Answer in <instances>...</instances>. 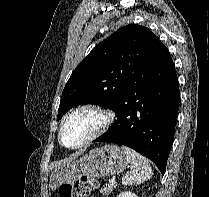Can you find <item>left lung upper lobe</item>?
Returning <instances> with one entry per match:
<instances>
[{"mask_svg": "<svg viewBox=\"0 0 209 197\" xmlns=\"http://www.w3.org/2000/svg\"><path fill=\"white\" fill-rule=\"evenodd\" d=\"M150 29L131 24L97 44L72 72L61 96L58 117L80 104L115 110L164 48Z\"/></svg>", "mask_w": 209, "mask_h": 197, "instance_id": "1", "label": "left lung upper lobe"}]
</instances>
